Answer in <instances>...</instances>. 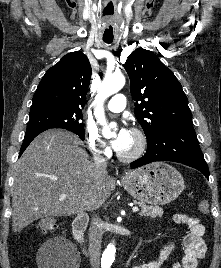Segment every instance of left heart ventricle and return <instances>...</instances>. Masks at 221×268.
Instances as JSON below:
<instances>
[{
    "mask_svg": "<svg viewBox=\"0 0 221 268\" xmlns=\"http://www.w3.org/2000/svg\"><path fill=\"white\" fill-rule=\"evenodd\" d=\"M137 146H138V140L136 136L131 132L125 148L120 153L124 155L132 154L137 149Z\"/></svg>",
    "mask_w": 221,
    "mask_h": 268,
    "instance_id": "left-heart-ventricle-1",
    "label": "left heart ventricle"
}]
</instances>
